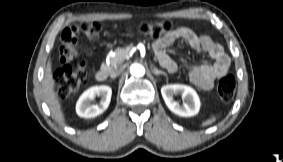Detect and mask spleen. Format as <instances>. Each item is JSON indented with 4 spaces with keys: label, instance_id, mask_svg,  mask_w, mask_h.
<instances>
[{
    "label": "spleen",
    "instance_id": "spleen-1",
    "mask_svg": "<svg viewBox=\"0 0 283 162\" xmlns=\"http://www.w3.org/2000/svg\"><path fill=\"white\" fill-rule=\"evenodd\" d=\"M215 121H216V118H215V117L210 118V119H208V120L204 121V122L202 123V126H208V125H211V124H212V123H214Z\"/></svg>",
    "mask_w": 283,
    "mask_h": 162
}]
</instances>
